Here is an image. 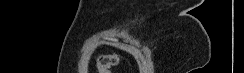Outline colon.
Instances as JSON below:
<instances>
[{
    "instance_id": "colon-1",
    "label": "colon",
    "mask_w": 244,
    "mask_h": 73,
    "mask_svg": "<svg viewBox=\"0 0 244 73\" xmlns=\"http://www.w3.org/2000/svg\"><path fill=\"white\" fill-rule=\"evenodd\" d=\"M120 63V56L117 53L102 54L97 59L99 73H112V70Z\"/></svg>"
}]
</instances>
